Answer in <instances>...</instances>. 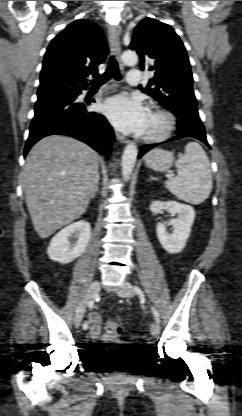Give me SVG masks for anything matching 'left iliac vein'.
<instances>
[{"label":"left iliac vein","mask_w":242,"mask_h":416,"mask_svg":"<svg viewBox=\"0 0 242 416\" xmlns=\"http://www.w3.org/2000/svg\"><path fill=\"white\" fill-rule=\"evenodd\" d=\"M135 294V290L128 282H124L123 286L117 290V295L120 297H132ZM160 324L158 321H153L150 326V332L153 336H158L160 333Z\"/></svg>","instance_id":"1"}]
</instances>
